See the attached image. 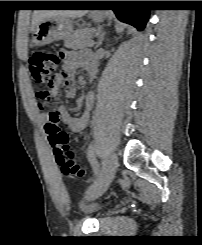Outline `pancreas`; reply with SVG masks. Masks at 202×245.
<instances>
[{
  "instance_id": "obj_1",
  "label": "pancreas",
  "mask_w": 202,
  "mask_h": 245,
  "mask_svg": "<svg viewBox=\"0 0 202 245\" xmlns=\"http://www.w3.org/2000/svg\"><path fill=\"white\" fill-rule=\"evenodd\" d=\"M92 41V30L78 29L65 40V46L73 49H83L90 46Z\"/></svg>"
}]
</instances>
